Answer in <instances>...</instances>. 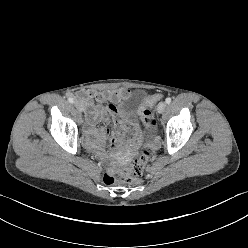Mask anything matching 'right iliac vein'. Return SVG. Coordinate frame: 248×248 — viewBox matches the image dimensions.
Segmentation results:
<instances>
[{
  "instance_id": "obj_1",
  "label": "right iliac vein",
  "mask_w": 248,
  "mask_h": 248,
  "mask_svg": "<svg viewBox=\"0 0 248 248\" xmlns=\"http://www.w3.org/2000/svg\"><path fill=\"white\" fill-rule=\"evenodd\" d=\"M74 106H75L79 111H81V112L84 111V104H83L81 101L76 100V101L74 102Z\"/></svg>"
}]
</instances>
